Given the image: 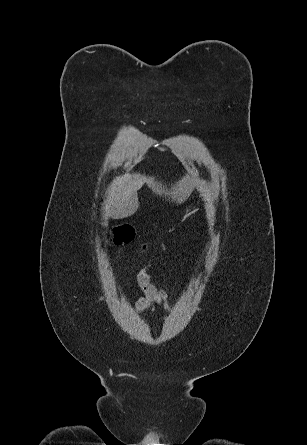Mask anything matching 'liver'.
Segmentation results:
<instances>
[{
	"label": "liver",
	"instance_id": "obj_1",
	"mask_svg": "<svg viewBox=\"0 0 307 445\" xmlns=\"http://www.w3.org/2000/svg\"><path fill=\"white\" fill-rule=\"evenodd\" d=\"M198 172L188 168L187 174L181 176L175 184H168L156 180L155 176H146L141 172H132V174H119L115 176L110 184L108 198L106 200L107 216L112 218H126L132 216L139 206L138 190L147 184L153 194H161L172 198V202L182 204L190 196L198 178Z\"/></svg>",
	"mask_w": 307,
	"mask_h": 445
}]
</instances>
